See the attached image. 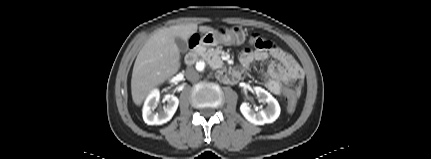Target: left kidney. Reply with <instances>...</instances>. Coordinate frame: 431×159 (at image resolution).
<instances>
[{"label":"left kidney","mask_w":431,"mask_h":159,"mask_svg":"<svg viewBox=\"0 0 431 159\" xmlns=\"http://www.w3.org/2000/svg\"><path fill=\"white\" fill-rule=\"evenodd\" d=\"M254 90L260 101L267 103V106L264 110L255 112L251 106H249V103L243 102L240 106L242 115L246 120L255 125H264L265 123L274 122L280 115L278 101L261 87H255Z\"/></svg>","instance_id":"obj_1"}]
</instances>
